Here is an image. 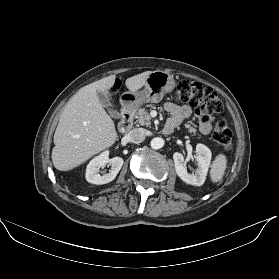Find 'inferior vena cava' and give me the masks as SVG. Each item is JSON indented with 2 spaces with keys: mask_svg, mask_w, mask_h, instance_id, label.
I'll return each instance as SVG.
<instances>
[{
  "mask_svg": "<svg viewBox=\"0 0 279 279\" xmlns=\"http://www.w3.org/2000/svg\"><path fill=\"white\" fill-rule=\"evenodd\" d=\"M126 136L132 143H141L146 137L144 131L141 129H132Z\"/></svg>",
  "mask_w": 279,
  "mask_h": 279,
  "instance_id": "1",
  "label": "inferior vena cava"
}]
</instances>
